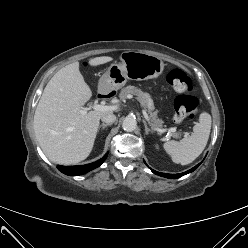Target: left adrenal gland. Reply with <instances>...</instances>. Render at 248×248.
<instances>
[{
    "instance_id": "obj_1",
    "label": "left adrenal gland",
    "mask_w": 248,
    "mask_h": 248,
    "mask_svg": "<svg viewBox=\"0 0 248 248\" xmlns=\"http://www.w3.org/2000/svg\"><path fill=\"white\" fill-rule=\"evenodd\" d=\"M143 124H144V127H145V134L148 135L149 132H150V129L148 128L147 123H146L145 120H143Z\"/></svg>"
}]
</instances>
